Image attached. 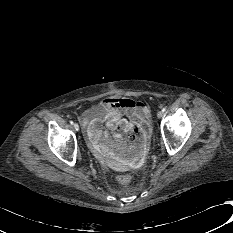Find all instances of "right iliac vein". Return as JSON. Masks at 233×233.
Segmentation results:
<instances>
[{
  "instance_id": "1",
  "label": "right iliac vein",
  "mask_w": 233,
  "mask_h": 233,
  "mask_svg": "<svg viewBox=\"0 0 233 233\" xmlns=\"http://www.w3.org/2000/svg\"><path fill=\"white\" fill-rule=\"evenodd\" d=\"M73 127H74V129H75L76 131H79V125H78L77 123H75V124L73 125Z\"/></svg>"
}]
</instances>
